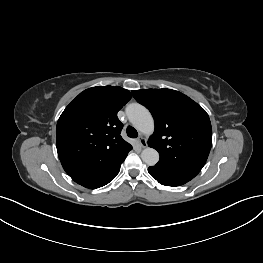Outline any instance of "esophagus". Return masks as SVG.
I'll list each match as a JSON object with an SVG mask.
<instances>
[{
    "mask_svg": "<svg viewBox=\"0 0 263 263\" xmlns=\"http://www.w3.org/2000/svg\"><path fill=\"white\" fill-rule=\"evenodd\" d=\"M137 142H138L139 146L142 147V148L146 147V145H147L146 139L143 136H140L137 139Z\"/></svg>",
    "mask_w": 263,
    "mask_h": 263,
    "instance_id": "esophagus-1",
    "label": "esophagus"
}]
</instances>
